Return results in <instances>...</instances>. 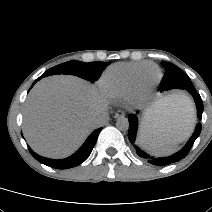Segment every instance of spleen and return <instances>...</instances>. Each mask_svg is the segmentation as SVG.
Listing matches in <instances>:
<instances>
[{"label": "spleen", "instance_id": "spleen-1", "mask_svg": "<svg viewBox=\"0 0 212 212\" xmlns=\"http://www.w3.org/2000/svg\"><path fill=\"white\" fill-rule=\"evenodd\" d=\"M182 104L190 111L194 112L192 101L185 95H175ZM145 115L142 123V128L139 136V143L147 150L159 154L167 155L174 152L177 149V144L182 141L179 137L174 134H160L155 131H148L145 129L146 124Z\"/></svg>", "mask_w": 212, "mask_h": 212}]
</instances>
